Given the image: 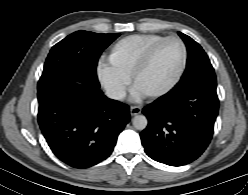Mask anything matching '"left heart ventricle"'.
Here are the masks:
<instances>
[{
	"mask_svg": "<svg viewBox=\"0 0 248 195\" xmlns=\"http://www.w3.org/2000/svg\"><path fill=\"white\" fill-rule=\"evenodd\" d=\"M182 61V46L176 40L167 42L157 53L150 68L140 77L141 92L158 91L175 77Z\"/></svg>",
	"mask_w": 248,
	"mask_h": 195,
	"instance_id": "b2bd125f",
	"label": "left heart ventricle"
}]
</instances>
